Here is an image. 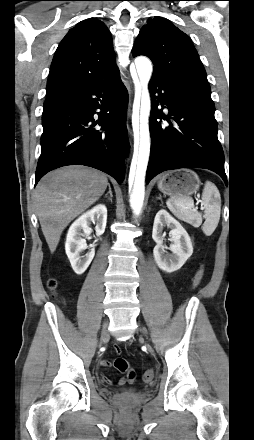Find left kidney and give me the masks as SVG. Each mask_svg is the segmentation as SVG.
I'll return each instance as SVG.
<instances>
[{
  "instance_id": "1",
  "label": "left kidney",
  "mask_w": 254,
  "mask_h": 440,
  "mask_svg": "<svg viewBox=\"0 0 254 440\" xmlns=\"http://www.w3.org/2000/svg\"><path fill=\"white\" fill-rule=\"evenodd\" d=\"M165 226L171 229V254H167L163 246V228ZM152 238L156 242V246L153 250L155 262L164 272L172 273L177 271L193 253V246L188 233L182 225L164 209L158 211L155 216Z\"/></svg>"
}]
</instances>
